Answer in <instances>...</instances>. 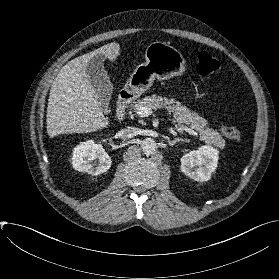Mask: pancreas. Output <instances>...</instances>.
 <instances>
[{
  "label": "pancreas",
  "mask_w": 279,
  "mask_h": 279,
  "mask_svg": "<svg viewBox=\"0 0 279 279\" xmlns=\"http://www.w3.org/2000/svg\"><path fill=\"white\" fill-rule=\"evenodd\" d=\"M149 107L152 111L157 109L167 110V114H173V123L183 131V126L187 125L198 131L201 139L207 144L215 145L223 148L225 141L217 130L211 129L207 126V120L199 116L194 111L189 110L187 107L182 106L180 102L173 98H162L159 95L146 96L138 100L133 106L137 112L139 107Z\"/></svg>",
  "instance_id": "1"
}]
</instances>
